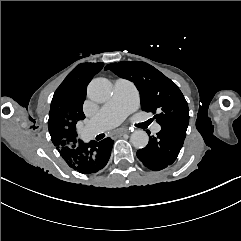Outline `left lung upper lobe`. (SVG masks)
<instances>
[{"mask_svg": "<svg viewBox=\"0 0 241 241\" xmlns=\"http://www.w3.org/2000/svg\"><path fill=\"white\" fill-rule=\"evenodd\" d=\"M134 82L140 92L143 111L156 114L157 122L189 123L188 104L178 86L156 68L141 61H121L105 67Z\"/></svg>", "mask_w": 241, "mask_h": 241, "instance_id": "left-lung-upper-lobe-1", "label": "left lung upper lobe"}]
</instances>
